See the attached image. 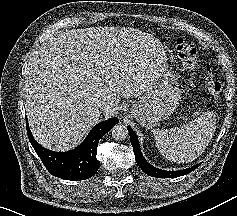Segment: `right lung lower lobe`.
<instances>
[{
	"label": "right lung lower lobe",
	"mask_w": 237,
	"mask_h": 216,
	"mask_svg": "<svg viewBox=\"0 0 237 216\" xmlns=\"http://www.w3.org/2000/svg\"><path fill=\"white\" fill-rule=\"evenodd\" d=\"M119 122L117 117L97 124L88 134L84 142L69 152L50 151L36 142L26 119L29 141L52 175L71 181L84 180L97 172L100 162L97 160L99 140Z\"/></svg>",
	"instance_id": "right-lung-lower-lobe-1"
}]
</instances>
